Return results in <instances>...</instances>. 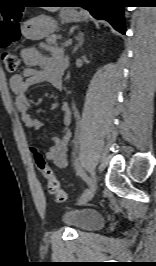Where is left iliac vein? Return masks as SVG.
I'll return each mask as SVG.
<instances>
[{
    "label": "left iliac vein",
    "mask_w": 156,
    "mask_h": 266,
    "mask_svg": "<svg viewBox=\"0 0 156 266\" xmlns=\"http://www.w3.org/2000/svg\"><path fill=\"white\" fill-rule=\"evenodd\" d=\"M89 182H92L93 188L89 189V194L84 199L80 200V204H84L88 202L94 196L97 190V178H96L95 172L91 173Z\"/></svg>",
    "instance_id": "4c4485c4"
}]
</instances>
